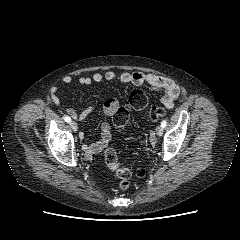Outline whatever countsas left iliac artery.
Wrapping results in <instances>:
<instances>
[{"instance_id":"obj_1","label":"left iliac artery","mask_w":240,"mask_h":240,"mask_svg":"<svg viewBox=\"0 0 240 240\" xmlns=\"http://www.w3.org/2000/svg\"><path fill=\"white\" fill-rule=\"evenodd\" d=\"M166 125H167V121H166V120H163V121L161 122V127H162V128H165Z\"/></svg>"}]
</instances>
